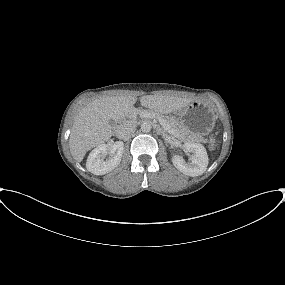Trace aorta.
I'll return each mask as SVG.
<instances>
[{
  "mask_svg": "<svg viewBox=\"0 0 285 285\" xmlns=\"http://www.w3.org/2000/svg\"><path fill=\"white\" fill-rule=\"evenodd\" d=\"M152 129V124L151 122L149 121H144L142 124H141V130L142 132H145V133H148L150 132Z\"/></svg>",
  "mask_w": 285,
  "mask_h": 285,
  "instance_id": "obj_1",
  "label": "aorta"
}]
</instances>
